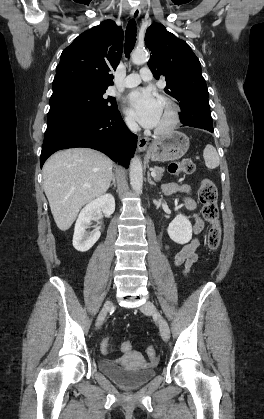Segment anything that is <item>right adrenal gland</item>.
<instances>
[{"label":"right adrenal gland","instance_id":"2a0ac1e0","mask_svg":"<svg viewBox=\"0 0 264 419\" xmlns=\"http://www.w3.org/2000/svg\"><path fill=\"white\" fill-rule=\"evenodd\" d=\"M114 186V188H116V180H115V174H112V183L110 184L109 187Z\"/></svg>","mask_w":264,"mask_h":419}]
</instances>
